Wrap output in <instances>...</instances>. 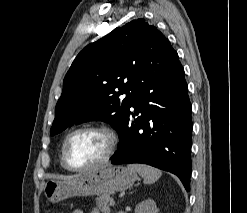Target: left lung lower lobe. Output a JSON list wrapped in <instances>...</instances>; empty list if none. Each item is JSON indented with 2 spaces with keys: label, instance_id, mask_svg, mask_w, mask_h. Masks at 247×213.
Segmentation results:
<instances>
[{
  "label": "left lung lower lobe",
  "instance_id": "1",
  "mask_svg": "<svg viewBox=\"0 0 247 213\" xmlns=\"http://www.w3.org/2000/svg\"><path fill=\"white\" fill-rule=\"evenodd\" d=\"M131 107L112 164L144 163L169 171L189 191L191 103L175 50L146 75Z\"/></svg>",
  "mask_w": 247,
  "mask_h": 213
}]
</instances>
